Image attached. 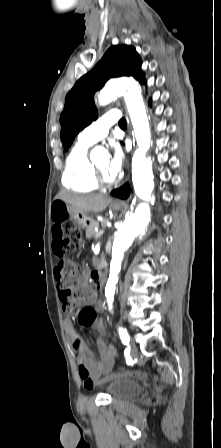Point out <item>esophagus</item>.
<instances>
[{
  "label": "esophagus",
  "instance_id": "1",
  "mask_svg": "<svg viewBox=\"0 0 221 448\" xmlns=\"http://www.w3.org/2000/svg\"><path fill=\"white\" fill-rule=\"evenodd\" d=\"M129 136H131V130L129 129ZM116 203H120V200H115Z\"/></svg>",
  "mask_w": 221,
  "mask_h": 448
}]
</instances>
